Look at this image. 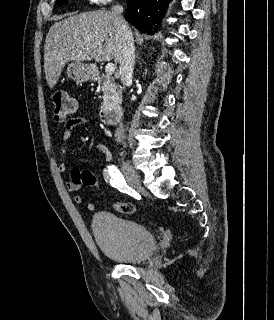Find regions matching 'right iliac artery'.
I'll return each mask as SVG.
<instances>
[{
  "label": "right iliac artery",
  "instance_id": "82829eb1",
  "mask_svg": "<svg viewBox=\"0 0 274 320\" xmlns=\"http://www.w3.org/2000/svg\"><path fill=\"white\" fill-rule=\"evenodd\" d=\"M108 171L111 177V185L113 187L117 188L121 192L127 193L130 196H133L136 199H140V195L127 185L123 175L115 166H110Z\"/></svg>",
  "mask_w": 274,
  "mask_h": 320
}]
</instances>
